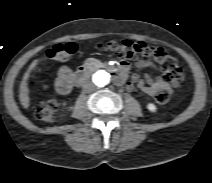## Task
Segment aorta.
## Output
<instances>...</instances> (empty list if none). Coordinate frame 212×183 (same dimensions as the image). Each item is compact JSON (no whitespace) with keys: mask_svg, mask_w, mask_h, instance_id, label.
Returning <instances> with one entry per match:
<instances>
[{"mask_svg":"<svg viewBox=\"0 0 212 183\" xmlns=\"http://www.w3.org/2000/svg\"><path fill=\"white\" fill-rule=\"evenodd\" d=\"M90 83H92L96 89L105 88L110 82V74L106 70H96L90 76Z\"/></svg>","mask_w":212,"mask_h":183,"instance_id":"1","label":"aorta"}]
</instances>
